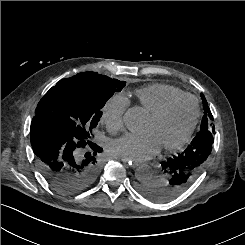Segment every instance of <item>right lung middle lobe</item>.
Wrapping results in <instances>:
<instances>
[{"label":"right lung middle lobe","mask_w":245,"mask_h":245,"mask_svg":"<svg viewBox=\"0 0 245 245\" xmlns=\"http://www.w3.org/2000/svg\"><path fill=\"white\" fill-rule=\"evenodd\" d=\"M125 84L97 72L79 73L52 87L35 113L63 126L76 140L90 141L102 116V107Z\"/></svg>","instance_id":"1"}]
</instances>
